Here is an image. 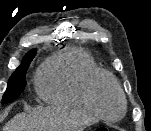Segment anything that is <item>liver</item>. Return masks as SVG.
<instances>
[{"label": "liver", "mask_w": 151, "mask_h": 131, "mask_svg": "<svg viewBox=\"0 0 151 131\" xmlns=\"http://www.w3.org/2000/svg\"><path fill=\"white\" fill-rule=\"evenodd\" d=\"M95 118L81 112L46 108L29 114H17L3 131H83Z\"/></svg>", "instance_id": "1"}]
</instances>
